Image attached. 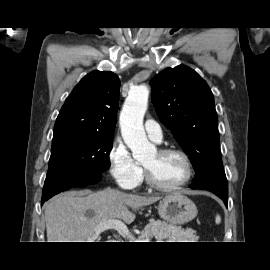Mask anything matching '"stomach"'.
Returning a JSON list of instances; mask_svg holds the SVG:
<instances>
[{
  "label": "stomach",
  "mask_w": 270,
  "mask_h": 270,
  "mask_svg": "<svg viewBox=\"0 0 270 270\" xmlns=\"http://www.w3.org/2000/svg\"><path fill=\"white\" fill-rule=\"evenodd\" d=\"M162 219L172 225H184L197 216V207L188 197L174 193L164 197L158 205Z\"/></svg>",
  "instance_id": "obj_1"
}]
</instances>
